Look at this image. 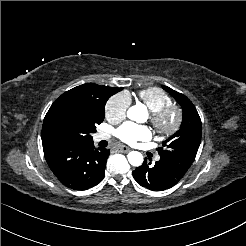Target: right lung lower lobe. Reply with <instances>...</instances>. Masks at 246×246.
<instances>
[{
	"instance_id": "obj_1",
	"label": "right lung lower lobe",
	"mask_w": 246,
	"mask_h": 246,
	"mask_svg": "<svg viewBox=\"0 0 246 246\" xmlns=\"http://www.w3.org/2000/svg\"><path fill=\"white\" fill-rule=\"evenodd\" d=\"M42 144L49 167L67 187L87 190L103 179L110 150L96 149L92 141Z\"/></svg>"
}]
</instances>
